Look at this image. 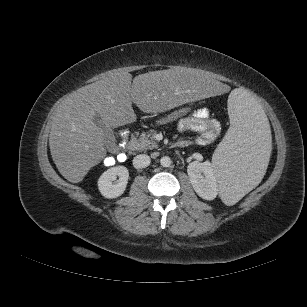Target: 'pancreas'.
<instances>
[{"label": "pancreas", "instance_id": "1", "mask_svg": "<svg viewBox=\"0 0 307 307\" xmlns=\"http://www.w3.org/2000/svg\"><path fill=\"white\" fill-rule=\"evenodd\" d=\"M156 131L150 130L143 132L139 137L133 136L131 139V145L134 150L146 151L158 148V143L155 141Z\"/></svg>", "mask_w": 307, "mask_h": 307}]
</instances>
